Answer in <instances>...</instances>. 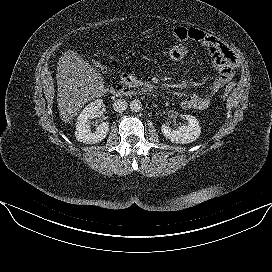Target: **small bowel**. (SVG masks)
Wrapping results in <instances>:
<instances>
[{
  "mask_svg": "<svg viewBox=\"0 0 272 272\" xmlns=\"http://www.w3.org/2000/svg\"><path fill=\"white\" fill-rule=\"evenodd\" d=\"M173 33L177 40H194L205 46L218 72L207 94L191 93L186 95L181 102L184 109L205 110L210 106L214 96L233 78L238 66L235 54L220 39L201 29L177 26Z\"/></svg>",
  "mask_w": 272,
  "mask_h": 272,
  "instance_id": "small-bowel-1",
  "label": "small bowel"
}]
</instances>
